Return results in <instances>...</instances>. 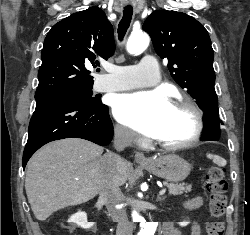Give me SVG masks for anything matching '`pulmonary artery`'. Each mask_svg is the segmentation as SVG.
Here are the masks:
<instances>
[{
	"label": "pulmonary artery",
	"mask_w": 250,
	"mask_h": 235,
	"mask_svg": "<svg viewBox=\"0 0 250 235\" xmlns=\"http://www.w3.org/2000/svg\"><path fill=\"white\" fill-rule=\"evenodd\" d=\"M158 62L150 55L144 56L137 65L112 66L106 80L97 81V90L100 92H115L139 87L155 85Z\"/></svg>",
	"instance_id": "obj_1"
}]
</instances>
